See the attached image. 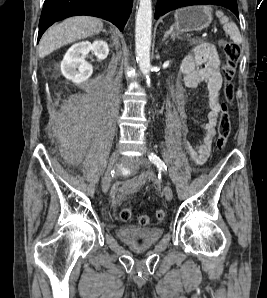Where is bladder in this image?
Returning <instances> with one entry per match:
<instances>
[{"label":"bladder","instance_id":"obj_1","mask_svg":"<svg viewBox=\"0 0 267 298\" xmlns=\"http://www.w3.org/2000/svg\"><path fill=\"white\" fill-rule=\"evenodd\" d=\"M162 227L122 226L116 230V236L135 249H146L156 244L163 236Z\"/></svg>","mask_w":267,"mask_h":298}]
</instances>
